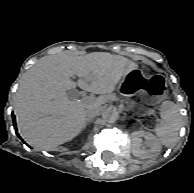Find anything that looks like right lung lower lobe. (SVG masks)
Here are the masks:
<instances>
[{"instance_id": "98d812e1", "label": "right lung lower lobe", "mask_w": 194, "mask_h": 193, "mask_svg": "<svg viewBox=\"0 0 194 193\" xmlns=\"http://www.w3.org/2000/svg\"><path fill=\"white\" fill-rule=\"evenodd\" d=\"M12 116H13V125H14V128H16V120H15V116L14 114L12 113ZM16 134L18 135V132L16 130ZM19 136V135H18Z\"/></svg>"}]
</instances>
